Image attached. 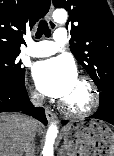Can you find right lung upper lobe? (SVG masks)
Here are the masks:
<instances>
[{"mask_svg": "<svg viewBox=\"0 0 114 156\" xmlns=\"http://www.w3.org/2000/svg\"><path fill=\"white\" fill-rule=\"evenodd\" d=\"M49 8L50 0H0V52L20 53L22 34Z\"/></svg>", "mask_w": 114, "mask_h": 156, "instance_id": "obj_1", "label": "right lung upper lobe"}]
</instances>
